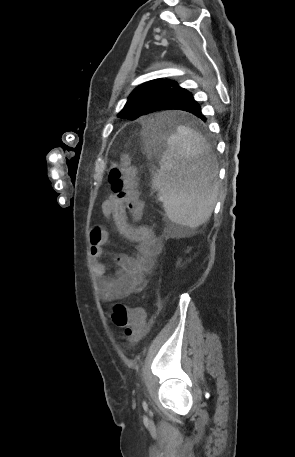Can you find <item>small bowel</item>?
<instances>
[{
    "mask_svg": "<svg viewBox=\"0 0 295 457\" xmlns=\"http://www.w3.org/2000/svg\"><path fill=\"white\" fill-rule=\"evenodd\" d=\"M104 217L111 218L119 232L136 243V254L130 256L117 254L114 260L118 266L115 278L108 276V267L104 262V246L108 243V233L102 226L90 230V250L93 258V269L100 278L101 296L104 301L124 300L142 291L148 275L161 252V243L148 226H132L127 220L126 210L111 193L102 203Z\"/></svg>",
    "mask_w": 295,
    "mask_h": 457,
    "instance_id": "small-bowel-1",
    "label": "small bowel"
}]
</instances>
